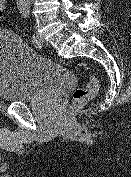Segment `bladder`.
<instances>
[{
	"label": "bladder",
	"instance_id": "31cf9c89",
	"mask_svg": "<svg viewBox=\"0 0 131 177\" xmlns=\"http://www.w3.org/2000/svg\"><path fill=\"white\" fill-rule=\"evenodd\" d=\"M76 84L74 72L27 47L15 34L0 32V99L44 101Z\"/></svg>",
	"mask_w": 131,
	"mask_h": 177
}]
</instances>
